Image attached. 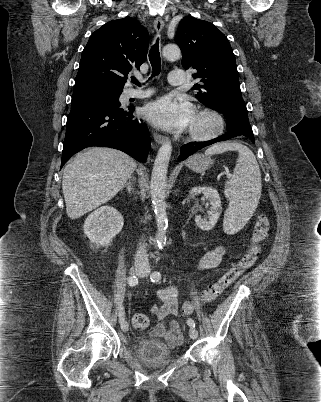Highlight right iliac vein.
I'll use <instances>...</instances> for the list:
<instances>
[{
    "label": "right iliac vein",
    "mask_w": 321,
    "mask_h": 402,
    "mask_svg": "<svg viewBox=\"0 0 321 402\" xmlns=\"http://www.w3.org/2000/svg\"><path fill=\"white\" fill-rule=\"evenodd\" d=\"M144 272V268L141 266H135L132 270H131V274H137V275H141ZM129 328V325L126 321H123L121 323V330L123 332H127Z\"/></svg>",
    "instance_id": "right-iliac-vein-1"
}]
</instances>
